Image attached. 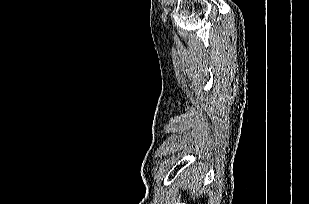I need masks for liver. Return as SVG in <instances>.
Segmentation results:
<instances>
[{"label": "liver", "instance_id": "1", "mask_svg": "<svg viewBox=\"0 0 309 204\" xmlns=\"http://www.w3.org/2000/svg\"><path fill=\"white\" fill-rule=\"evenodd\" d=\"M202 181V176L196 173H192L190 176V172L185 173L184 176V189H189L194 196H198V193L200 194V184Z\"/></svg>", "mask_w": 309, "mask_h": 204}]
</instances>
